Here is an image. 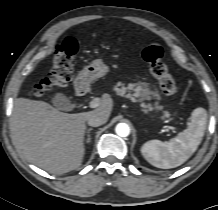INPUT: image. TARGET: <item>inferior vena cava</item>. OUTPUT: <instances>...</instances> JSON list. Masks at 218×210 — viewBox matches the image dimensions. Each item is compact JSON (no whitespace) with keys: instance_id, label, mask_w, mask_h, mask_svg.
Returning a JSON list of instances; mask_svg holds the SVG:
<instances>
[{"instance_id":"602c4592","label":"inferior vena cava","mask_w":218,"mask_h":210,"mask_svg":"<svg viewBox=\"0 0 218 210\" xmlns=\"http://www.w3.org/2000/svg\"><path fill=\"white\" fill-rule=\"evenodd\" d=\"M105 122H106V120L98 114H92L87 119L88 125L93 126V127H98V126L104 124Z\"/></svg>"}]
</instances>
